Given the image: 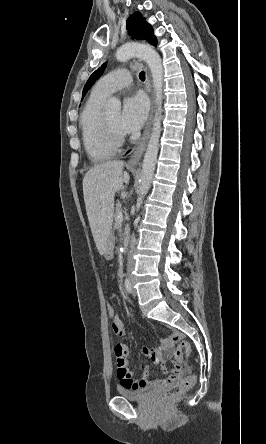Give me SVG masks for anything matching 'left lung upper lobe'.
<instances>
[{
	"instance_id": "1",
	"label": "left lung upper lobe",
	"mask_w": 266,
	"mask_h": 444,
	"mask_svg": "<svg viewBox=\"0 0 266 444\" xmlns=\"http://www.w3.org/2000/svg\"><path fill=\"white\" fill-rule=\"evenodd\" d=\"M127 29L128 34L132 39H143L149 41L151 44L156 45L157 41L153 34V29L150 24H148L139 12H135L127 19ZM106 63H104L100 68H98L88 79L85 87L83 89L82 98L85 96L87 91L95 83V81L103 74Z\"/></svg>"
}]
</instances>
